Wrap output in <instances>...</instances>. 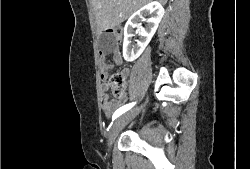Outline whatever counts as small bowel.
I'll use <instances>...</instances> for the list:
<instances>
[{"mask_svg": "<svg viewBox=\"0 0 250 169\" xmlns=\"http://www.w3.org/2000/svg\"><path fill=\"white\" fill-rule=\"evenodd\" d=\"M113 59L115 64H121L123 62L122 55L120 51L117 48H114L112 50ZM106 54H103L102 59H104ZM113 69V65L105 63L104 60H102L101 63V78L103 81L102 84V96H103V110L106 115L110 116L114 111H116L121 103L122 99H110L109 96V83H108V77ZM122 75L124 77H127L129 75V70L127 68L123 69Z\"/></svg>", "mask_w": 250, "mask_h": 169, "instance_id": "1", "label": "small bowel"}]
</instances>
